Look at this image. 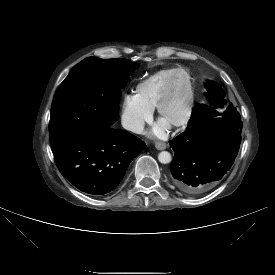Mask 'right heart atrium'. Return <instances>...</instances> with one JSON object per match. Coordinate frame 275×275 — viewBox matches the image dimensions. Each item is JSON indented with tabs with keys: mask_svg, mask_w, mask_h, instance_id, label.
I'll return each mask as SVG.
<instances>
[{
	"mask_svg": "<svg viewBox=\"0 0 275 275\" xmlns=\"http://www.w3.org/2000/svg\"><path fill=\"white\" fill-rule=\"evenodd\" d=\"M120 116L127 130L139 134L151 120L152 110L144 106L135 95L127 94L121 103Z\"/></svg>",
	"mask_w": 275,
	"mask_h": 275,
	"instance_id": "1",
	"label": "right heart atrium"
}]
</instances>
